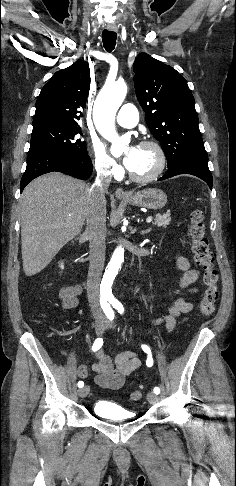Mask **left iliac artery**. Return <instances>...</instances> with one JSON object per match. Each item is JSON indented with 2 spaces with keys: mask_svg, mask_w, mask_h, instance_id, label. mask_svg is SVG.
Returning <instances> with one entry per match:
<instances>
[{
  "mask_svg": "<svg viewBox=\"0 0 236 486\" xmlns=\"http://www.w3.org/2000/svg\"><path fill=\"white\" fill-rule=\"evenodd\" d=\"M109 301L112 304V306L118 311V313H120V314L124 313V307L119 301H117L115 299H110ZM142 349L148 355L146 365L148 367H151L153 365V358H152V355H151V350H150L149 346H147V345H142ZM153 391H154L155 394L160 393L159 387H155Z\"/></svg>",
  "mask_w": 236,
  "mask_h": 486,
  "instance_id": "obj_1",
  "label": "left iliac artery"
}]
</instances>
